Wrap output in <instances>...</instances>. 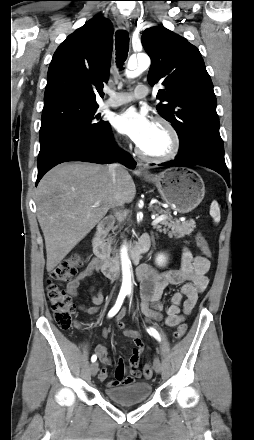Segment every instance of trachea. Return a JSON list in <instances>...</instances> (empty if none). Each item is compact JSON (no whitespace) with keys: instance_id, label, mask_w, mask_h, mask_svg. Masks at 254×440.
<instances>
[{"instance_id":"1","label":"trachea","mask_w":254,"mask_h":440,"mask_svg":"<svg viewBox=\"0 0 254 440\" xmlns=\"http://www.w3.org/2000/svg\"><path fill=\"white\" fill-rule=\"evenodd\" d=\"M116 63L122 68L129 51V36L125 30H119L115 34Z\"/></svg>"}]
</instances>
